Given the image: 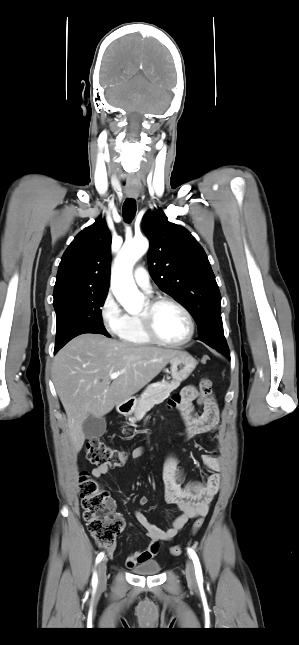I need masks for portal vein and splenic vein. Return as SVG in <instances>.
<instances>
[{
  "label": "portal vein and splenic vein",
  "mask_w": 299,
  "mask_h": 645,
  "mask_svg": "<svg viewBox=\"0 0 299 645\" xmlns=\"http://www.w3.org/2000/svg\"><path fill=\"white\" fill-rule=\"evenodd\" d=\"M120 374H122V372H114V373H112V374L110 375V378H111L112 380H113V379H116Z\"/></svg>",
  "instance_id": "1"
}]
</instances>
